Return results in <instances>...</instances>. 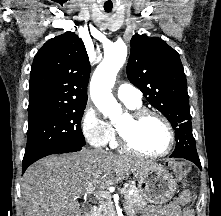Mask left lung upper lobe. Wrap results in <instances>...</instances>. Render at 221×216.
Returning a JSON list of instances; mask_svg holds the SVG:
<instances>
[{
	"mask_svg": "<svg viewBox=\"0 0 221 216\" xmlns=\"http://www.w3.org/2000/svg\"><path fill=\"white\" fill-rule=\"evenodd\" d=\"M129 81L175 129L176 144L196 151L186 76L179 54L160 38L135 34L127 64Z\"/></svg>",
	"mask_w": 221,
	"mask_h": 216,
	"instance_id": "left-lung-upper-lobe-1",
	"label": "left lung upper lobe"
}]
</instances>
